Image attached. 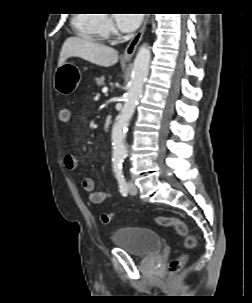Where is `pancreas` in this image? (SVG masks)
<instances>
[{"instance_id":"obj_1","label":"pancreas","mask_w":252,"mask_h":303,"mask_svg":"<svg viewBox=\"0 0 252 303\" xmlns=\"http://www.w3.org/2000/svg\"><path fill=\"white\" fill-rule=\"evenodd\" d=\"M104 81H105V77L101 76V77H96L95 78V82L98 86H102L104 85Z\"/></svg>"}]
</instances>
